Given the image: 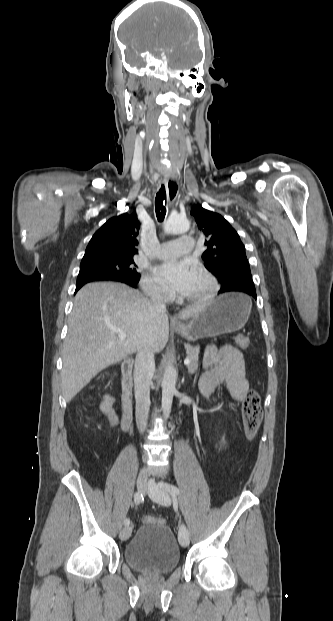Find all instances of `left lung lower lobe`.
Returning a JSON list of instances; mask_svg holds the SVG:
<instances>
[{"label": "left lung lower lobe", "instance_id": "1", "mask_svg": "<svg viewBox=\"0 0 333 621\" xmlns=\"http://www.w3.org/2000/svg\"><path fill=\"white\" fill-rule=\"evenodd\" d=\"M228 292H242L250 295L254 299L257 298L255 286L249 285H235L232 287L225 288L224 290H220L219 294L228 293Z\"/></svg>", "mask_w": 333, "mask_h": 621}]
</instances>
